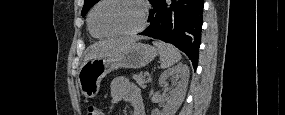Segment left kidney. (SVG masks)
<instances>
[{
    "instance_id": "1",
    "label": "left kidney",
    "mask_w": 285,
    "mask_h": 115,
    "mask_svg": "<svg viewBox=\"0 0 285 115\" xmlns=\"http://www.w3.org/2000/svg\"><path fill=\"white\" fill-rule=\"evenodd\" d=\"M178 78L174 82V88L171 90V96L168 99L166 106L162 111V115H174L181 106L188 86L189 68L185 64H178L177 66L164 71L159 78V85L165 86L168 78ZM158 111H152V115H158Z\"/></svg>"
}]
</instances>
